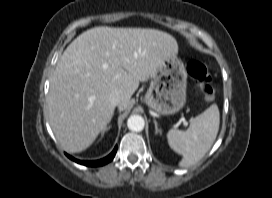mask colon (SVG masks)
<instances>
[{"label":"colon","instance_id":"1","mask_svg":"<svg viewBox=\"0 0 272 198\" xmlns=\"http://www.w3.org/2000/svg\"><path fill=\"white\" fill-rule=\"evenodd\" d=\"M188 74L200 87L201 95L205 101H212L215 98V89L212 78L206 66L198 60L192 59L187 65Z\"/></svg>","mask_w":272,"mask_h":198}]
</instances>
